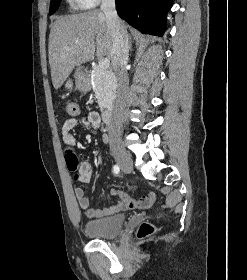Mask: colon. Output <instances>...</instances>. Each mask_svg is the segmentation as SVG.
<instances>
[{"label":"colon","instance_id":"colon-1","mask_svg":"<svg viewBox=\"0 0 247 280\" xmlns=\"http://www.w3.org/2000/svg\"><path fill=\"white\" fill-rule=\"evenodd\" d=\"M65 112L69 117H73L77 115L78 113V105L74 101H68L65 104ZM66 163L67 167L71 172L75 173V180H78V167H79V161L77 156L70 150L68 149L66 152ZM155 228L152 224L150 223H143L139 227L137 231V237L140 239H143L149 235H151L154 232Z\"/></svg>","mask_w":247,"mask_h":280}]
</instances>
